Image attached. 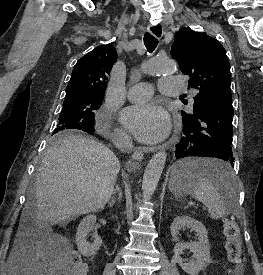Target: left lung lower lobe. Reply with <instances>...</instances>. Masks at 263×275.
Returning a JSON list of instances; mask_svg holds the SVG:
<instances>
[{
  "mask_svg": "<svg viewBox=\"0 0 263 275\" xmlns=\"http://www.w3.org/2000/svg\"><path fill=\"white\" fill-rule=\"evenodd\" d=\"M233 106L231 96H223L205 107L192 122H183V135L176 145L174 157H215L234 166L232 153ZM209 175L220 170H207Z\"/></svg>",
  "mask_w": 263,
  "mask_h": 275,
  "instance_id": "left-lung-lower-lobe-1",
  "label": "left lung lower lobe"
}]
</instances>
